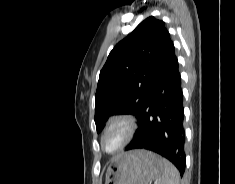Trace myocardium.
<instances>
[{
    "mask_svg": "<svg viewBox=\"0 0 235 184\" xmlns=\"http://www.w3.org/2000/svg\"><path fill=\"white\" fill-rule=\"evenodd\" d=\"M118 125H121L124 128V135H123L121 144L115 152L107 153L103 150V147H102L103 137L110 129ZM137 129H138V121H137V118L133 114L126 112V111H119V112L114 113L108 119L106 125L104 126L100 134L99 145H100L101 151L105 153L106 155H110V156L120 154L125 149V147L132 141V139L135 137Z\"/></svg>",
    "mask_w": 235,
    "mask_h": 184,
    "instance_id": "obj_1",
    "label": "myocardium"
}]
</instances>
